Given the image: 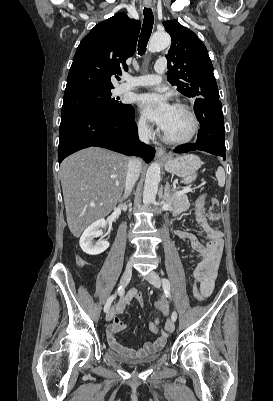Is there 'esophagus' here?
<instances>
[{
	"label": "esophagus",
	"mask_w": 273,
	"mask_h": 401,
	"mask_svg": "<svg viewBox=\"0 0 273 401\" xmlns=\"http://www.w3.org/2000/svg\"><path fill=\"white\" fill-rule=\"evenodd\" d=\"M146 7H150L151 4H145ZM156 157L160 160L167 159L166 149L162 147H158L156 150Z\"/></svg>",
	"instance_id": "esophagus-1"
}]
</instances>
